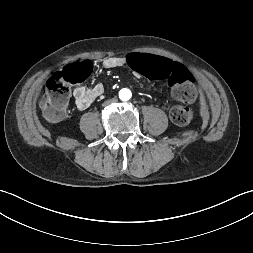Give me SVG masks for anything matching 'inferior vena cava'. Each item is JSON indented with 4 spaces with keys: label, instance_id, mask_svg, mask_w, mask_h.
Listing matches in <instances>:
<instances>
[{
    "label": "inferior vena cava",
    "instance_id": "602c4592",
    "mask_svg": "<svg viewBox=\"0 0 253 253\" xmlns=\"http://www.w3.org/2000/svg\"><path fill=\"white\" fill-rule=\"evenodd\" d=\"M116 103H117V98L116 97H111V98H108L106 100H103L102 101V106L103 107H108V106L114 105Z\"/></svg>",
    "mask_w": 253,
    "mask_h": 253
}]
</instances>
